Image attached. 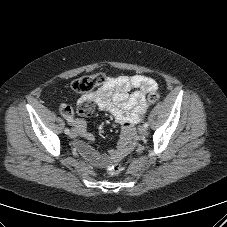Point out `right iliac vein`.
<instances>
[{"mask_svg":"<svg viewBox=\"0 0 227 227\" xmlns=\"http://www.w3.org/2000/svg\"><path fill=\"white\" fill-rule=\"evenodd\" d=\"M71 138H74L77 136V131L75 129H72L71 132L69 133Z\"/></svg>","mask_w":227,"mask_h":227,"instance_id":"obj_1","label":"right iliac vein"}]
</instances>
